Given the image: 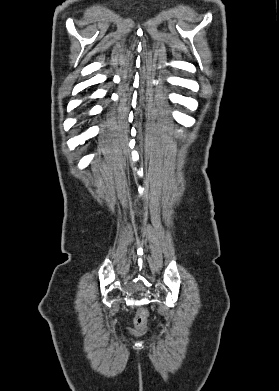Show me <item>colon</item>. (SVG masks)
I'll return each mask as SVG.
<instances>
[{
  "label": "colon",
  "instance_id": "obj_1",
  "mask_svg": "<svg viewBox=\"0 0 279 391\" xmlns=\"http://www.w3.org/2000/svg\"><path fill=\"white\" fill-rule=\"evenodd\" d=\"M147 317H148L147 309L144 307L140 308L135 317V327L137 331L141 332L146 328Z\"/></svg>",
  "mask_w": 279,
  "mask_h": 391
}]
</instances>
